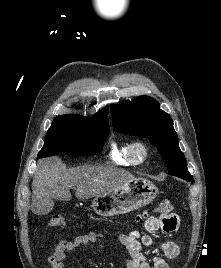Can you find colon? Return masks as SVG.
Instances as JSON below:
<instances>
[{
  "label": "colon",
  "mask_w": 221,
  "mask_h": 268,
  "mask_svg": "<svg viewBox=\"0 0 221 268\" xmlns=\"http://www.w3.org/2000/svg\"><path fill=\"white\" fill-rule=\"evenodd\" d=\"M155 211L160 213V215L168 216L173 214V204L169 199L162 200L159 205L155 208ZM147 216V213L144 212L140 214L137 219L141 220ZM48 225L53 228H60L66 226V219L61 214H55L49 221Z\"/></svg>",
  "instance_id": "1"
}]
</instances>
